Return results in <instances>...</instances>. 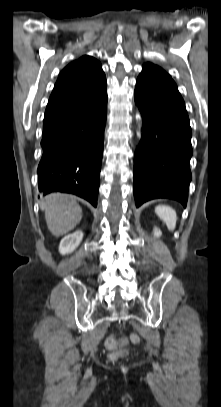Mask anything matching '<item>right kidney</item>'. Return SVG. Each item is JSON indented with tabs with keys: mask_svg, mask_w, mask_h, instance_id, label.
I'll return each instance as SVG.
<instances>
[{
	"mask_svg": "<svg viewBox=\"0 0 221 407\" xmlns=\"http://www.w3.org/2000/svg\"><path fill=\"white\" fill-rule=\"evenodd\" d=\"M82 238L83 232L80 230L72 234H68L61 240L59 245V252L63 255L73 252L79 246Z\"/></svg>",
	"mask_w": 221,
	"mask_h": 407,
	"instance_id": "right-kidney-1",
	"label": "right kidney"
}]
</instances>
